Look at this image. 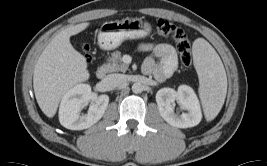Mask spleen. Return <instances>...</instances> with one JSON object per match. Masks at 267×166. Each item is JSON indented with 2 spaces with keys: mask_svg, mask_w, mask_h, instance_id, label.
<instances>
[{
  "mask_svg": "<svg viewBox=\"0 0 267 166\" xmlns=\"http://www.w3.org/2000/svg\"><path fill=\"white\" fill-rule=\"evenodd\" d=\"M192 50L204 115L211 121L220 112L226 98V72L220 57L204 39H196Z\"/></svg>",
  "mask_w": 267,
  "mask_h": 166,
  "instance_id": "1",
  "label": "spleen"
}]
</instances>
